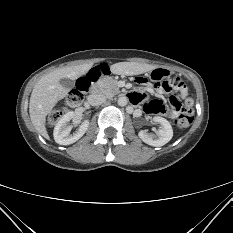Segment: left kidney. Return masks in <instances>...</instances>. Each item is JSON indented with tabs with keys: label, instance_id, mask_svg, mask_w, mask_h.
Listing matches in <instances>:
<instances>
[{
	"label": "left kidney",
	"instance_id": "left-kidney-1",
	"mask_svg": "<svg viewBox=\"0 0 233 233\" xmlns=\"http://www.w3.org/2000/svg\"><path fill=\"white\" fill-rule=\"evenodd\" d=\"M152 120L160 124L158 130L156 131L157 137L150 135L145 130H141L138 135L140 139L148 145L154 147L163 146L173 137L172 126L169 121L163 117L155 116Z\"/></svg>",
	"mask_w": 233,
	"mask_h": 233
}]
</instances>
